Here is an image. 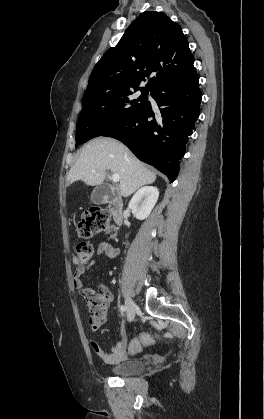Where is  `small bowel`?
<instances>
[{
	"instance_id": "small-bowel-1",
	"label": "small bowel",
	"mask_w": 264,
	"mask_h": 419,
	"mask_svg": "<svg viewBox=\"0 0 264 419\" xmlns=\"http://www.w3.org/2000/svg\"><path fill=\"white\" fill-rule=\"evenodd\" d=\"M97 251L100 255H105L111 260L115 259L118 255V249L109 242H101L98 245ZM86 272V266H79L76 268L74 273V286L79 290L83 299L93 300L97 303L95 308L96 315L89 320L91 330L97 331L106 322L107 309L113 299V295L110 289L105 285H99L97 292L91 288L85 287L82 276ZM91 346L101 360L111 365L125 361L129 354L136 353L132 350L130 343H128L125 329L122 325L119 328V338L110 351L105 350L95 340L91 341Z\"/></svg>"
}]
</instances>
